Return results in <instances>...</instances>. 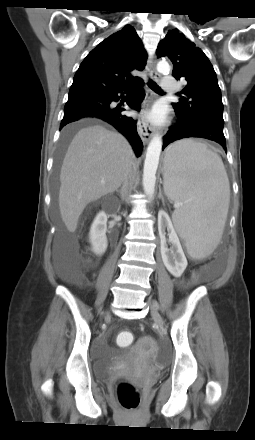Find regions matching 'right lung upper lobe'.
<instances>
[{
  "label": "right lung upper lobe",
  "instance_id": "1",
  "mask_svg": "<svg viewBox=\"0 0 255 440\" xmlns=\"http://www.w3.org/2000/svg\"><path fill=\"white\" fill-rule=\"evenodd\" d=\"M147 54L135 29L125 25L122 30L98 44L77 70L69 97L107 92L132 83L134 69L142 71Z\"/></svg>",
  "mask_w": 255,
  "mask_h": 440
}]
</instances>
